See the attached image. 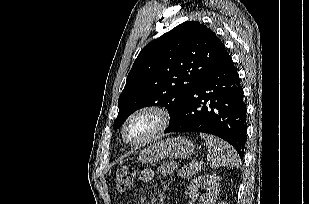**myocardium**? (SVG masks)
Masks as SVG:
<instances>
[{
    "mask_svg": "<svg viewBox=\"0 0 309 204\" xmlns=\"http://www.w3.org/2000/svg\"><path fill=\"white\" fill-rule=\"evenodd\" d=\"M145 114H152L157 118V126L156 128L149 134L147 135L145 138L139 140V141H130L127 138L126 135V129L128 124L135 118L141 116V115H145ZM171 121V115L169 113V111L160 105H147V106H143L140 107L138 109H136L135 111H133L125 120V122L122 125L121 128V136L124 140V142L130 146H141L149 141H151L152 139H154L155 137H157L158 135H160L161 133H163L169 126Z\"/></svg>",
    "mask_w": 309,
    "mask_h": 204,
    "instance_id": "f54148a6",
    "label": "myocardium"
}]
</instances>
